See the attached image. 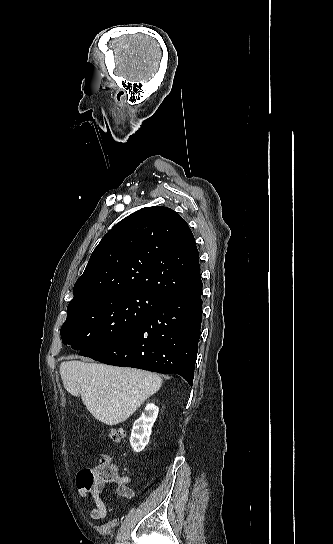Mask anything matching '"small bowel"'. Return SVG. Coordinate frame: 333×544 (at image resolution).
<instances>
[{"label":"small bowel","mask_w":333,"mask_h":544,"mask_svg":"<svg viewBox=\"0 0 333 544\" xmlns=\"http://www.w3.org/2000/svg\"><path fill=\"white\" fill-rule=\"evenodd\" d=\"M129 478L128 477H118L116 482V488L112 496L123 497L126 499H131L134 496V492L128 486ZM104 485H99L88 489L83 486L78 487V495L81 499L87 500L91 505L92 509L90 511V516L93 520H102L109 513L115 511L117 508H107L108 499L102 497Z\"/></svg>","instance_id":"small-bowel-1"}]
</instances>
